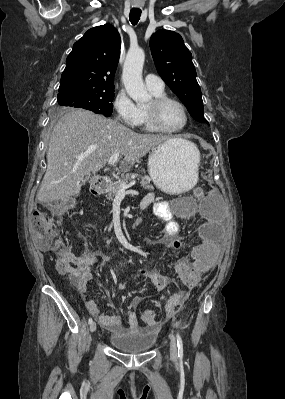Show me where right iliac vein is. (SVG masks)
<instances>
[{
	"mask_svg": "<svg viewBox=\"0 0 285 399\" xmlns=\"http://www.w3.org/2000/svg\"><path fill=\"white\" fill-rule=\"evenodd\" d=\"M90 331H91V332H95V331H96V323H95V322H92V323L90 324Z\"/></svg>",
	"mask_w": 285,
	"mask_h": 399,
	"instance_id": "right-iliac-vein-1",
	"label": "right iliac vein"
}]
</instances>
